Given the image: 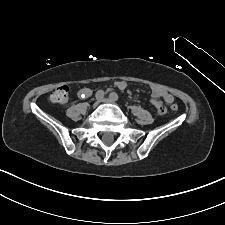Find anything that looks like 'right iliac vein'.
Segmentation results:
<instances>
[{
	"mask_svg": "<svg viewBox=\"0 0 225 225\" xmlns=\"http://www.w3.org/2000/svg\"><path fill=\"white\" fill-rule=\"evenodd\" d=\"M100 102H101V100H100V99H97V100L94 102L93 106H94V107H97V106L100 104Z\"/></svg>",
	"mask_w": 225,
	"mask_h": 225,
	"instance_id": "1",
	"label": "right iliac vein"
}]
</instances>
